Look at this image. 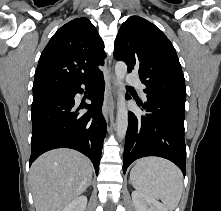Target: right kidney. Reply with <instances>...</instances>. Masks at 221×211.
Wrapping results in <instances>:
<instances>
[{
	"instance_id": "ca27d5eb",
	"label": "right kidney",
	"mask_w": 221,
	"mask_h": 211,
	"mask_svg": "<svg viewBox=\"0 0 221 211\" xmlns=\"http://www.w3.org/2000/svg\"><path fill=\"white\" fill-rule=\"evenodd\" d=\"M87 206V197L86 196H79L72 200L63 211H85Z\"/></svg>"
}]
</instances>
